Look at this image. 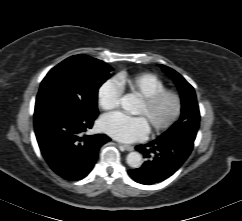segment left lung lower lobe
Here are the masks:
<instances>
[{
  "instance_id": "left-lung-lower-lobe-1",
  "label": "left lung lower lobe",
  "mask_w": 242,
  "mask_h": 221,
  "mask_svg": "<svg viewBox=\"0 0 242 221\" xmlns=\"http://www.w3.org/2000/svg\"><path fill=\"white\" fill-rule=\"evenodd\" d=\"M195 137L158 138L136 149L146 158L138 169L129 170V175L138 183L150 185L173 175L190 155Z\"/></svg>"
}]
</instances>
